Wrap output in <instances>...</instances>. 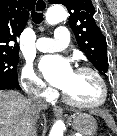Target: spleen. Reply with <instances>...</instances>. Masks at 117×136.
I'll return each mask as SVG.
<instances>
[{
    "label": "spleen",
    "mask_w": 117,
    "mask_h": 136,
    "mask_svg": "<svg viewBox=\"0 0 117 136\" xmlns=\"http://www.w3.org/2000/svg\"><path fill=\"white\" fill-rule=\"evenodd\" d=\"M103 118L105 119L107 125L114 131L117 132V127L115 125V122L113 118L110 115H103Z\"/></svg>",
    "instance_id": "1"
}]
</instances>
